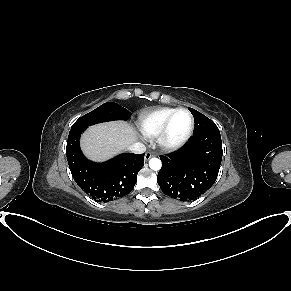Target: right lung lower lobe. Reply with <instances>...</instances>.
Listing matches in <instances>:
<instances>
[{
    "label": "right lung lower lobe",
    "mask_w": 291,
    "mask_h": 291,
    "mask_svg": "<svg viewBox=\"0 0 291 291\" xmlns=\"http://www.w3.org/2000/svg\"><path fill=\"white\" fill-rule=\"evenodd\" d=\"M85 129L70 130L67 140V160L76 183L98 202L113 201L129 194L144 165V154L123 153L104 163L92 162L85 158L79 146Z\"/></svg>",
    "instance_id": "right-lung-lower-lobe-1"
}]
</instances>
